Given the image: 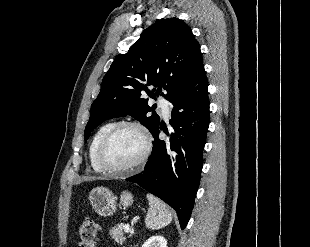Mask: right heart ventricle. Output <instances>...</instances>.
I'll use <instances>...</instances> for the list:
<instances>
[{"label": "right heart ventricle", "mask_w": 310, "mask_h": 247, "mask_svg": "<svg viewBox=\"0 0 310 247\" xmlns=\"http://www.w3.org/2000/svg\"><path fill=\"white\" fill-rule=\"evenodd\" d=\"M116 124V122H108L102 125L94 134L90 146H89V161L90 165L95 172H102L103 170L97 163L96 160V152L99 146L100 141L104 137V135Z\"/></svg>", "instance_id": "e07e8e85"}]
</instances>
